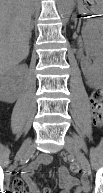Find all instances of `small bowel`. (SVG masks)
<instances>
[{
    "label": "small bowel",
    "instance_id": "1",
    "mask_svg": "<svg viewBox=\"0 0 103 193\" xmlns=\"http://www.w3.org/2000/svg\"><path fill=\"white\" fill-rule=\"evenodd\" d=\"M51 156L42 154L35 160L30 162L21 172V178H16L13 181L12 193H53L52 189L45 188L41 190L33 178V173L43 164H49ZM60 193H87L89 190V182L86 176L80 180L71 177L65 168H60L58 171ZM23 181L27 184L29 192H26L23 187Z\"/></svg>",
    "mask_w": 103,
    "mask_h": 193
}]
</instances>
